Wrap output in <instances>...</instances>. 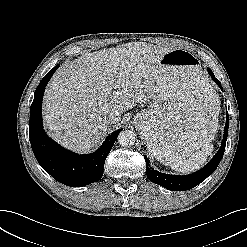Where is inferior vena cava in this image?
<instances>
[{
	"label": "inferior vena cava",
	"mask_w": 247,
	"mask_h": 247,
	"mask_svg": "<svg viewBox=\"0 0 247 247\" xmlns=\"http://www.w3.org/2000/svg\"><path fill=\"white\" fill-rule=\"evenodd\" d=\"M119 120H120V116H119V113L118 112H111L107 116V121L109 123H113V122L119 121Z\"/></svg>",
	"instance_id": "inferior-vena-cava-1"
}]
</instances>
